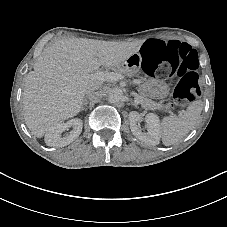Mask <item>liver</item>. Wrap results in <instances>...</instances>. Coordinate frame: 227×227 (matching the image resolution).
Instances as JSON below:
<instances>
[{
	"label": "liver",
	"mask_w": 227,
	"mask_h": 227,
	"mask_svg": "<svg viewBox=\"0 0 227 227\" xmlns=\"http://www.w3.org/2000/svg\"><path fill=\"white\" fill-rule=\"evenodd\" d=\"M142 43L76 38L45 47L33 71L25 76L23 109L30 131L40 138L60 120L75 116L84 103L87 87L103 85L94 73L101 66L116 69L138 53Z\"/></svg>",
	"instance_id": "obj_1"
}]
</instances>
